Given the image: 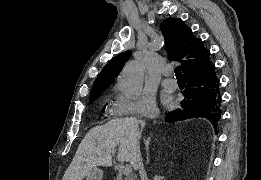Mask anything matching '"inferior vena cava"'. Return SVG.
<instances>
[{
  "mask_svg": "<svg viewBox=\"0 0 261 180\" xmlns=\"http://www.w3.org/2000/svg\"><path fill=\"white\" fill-rule=\"evenodd\" d=\"M135 166H136L137 170H139L140 176H144V172L142 170L143 164H142V158H141L140 152H138V154H137V160H135Z\"/></svg>",
  "mask_w": 261,
  "mask_h": 180,
  "instance_id": "602c4592",
  "label": "inferior vena cava"
}]
</instances>
